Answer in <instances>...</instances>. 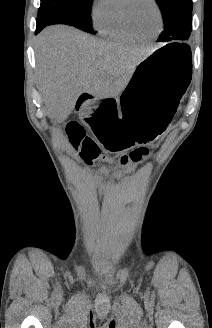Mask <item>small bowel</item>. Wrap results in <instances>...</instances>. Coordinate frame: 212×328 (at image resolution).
I'll use <instances>...</instances> for the list:
<instances>
[{
    "mask_svg": "<svg viewBox=\"0 0 212 328\" xmlns=\"http://www.w3.org/2000/svg\"><path fill=\"white\" fill-rule=\"evenodd\" d=\"M138 162V161H137ZM108 172V171H107ZM106 173H100V171L96 172V174L94 175V178L96 180H100V178L102 177V175H104ZM110 188V184H107V183H99L98 184V190H99V193L102 194L105 190L109 189Z\"/></svg>",
    "mask_w": 212,
    "mask_h": 328,
    "instance_id": "obj_1",
    "label": "small bowel"
}]
</instances>
